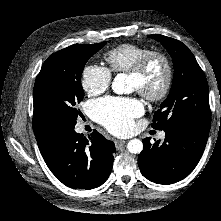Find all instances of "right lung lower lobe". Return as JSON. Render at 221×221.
<instances>
[{"label": "right lung lower lobe", "mask_w": 221, "mask_h": 221, "mask_svg": "<svg viewBox=\"0 0 221 221\" xmlns=\"http://www.w3.org/2000/svg\"><path fill=\"white\" fill-rule=\"evenodd\" d=\"M74 126L56 124L36 135L40 152L51 172L66 186L99 187L112 170L115 145L96 130L86 138L76 133Z\"/></svg>", "instance_id": "obj_1"}]
</instances>
